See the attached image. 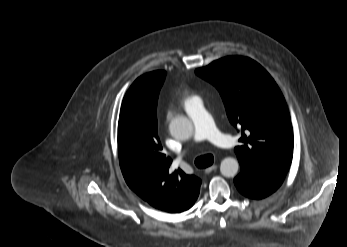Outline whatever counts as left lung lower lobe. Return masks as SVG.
<instances>
[{
    "instance_id": "0a47b994",
    "label": "left lung lower lobe",
    "mask_w": 347,
    "mask_h": 247,
    "mask_svg": "<svg viewBox=\"0 0 347 247\" xmlns=\"http://www.w3.org/2000/svg\"><path fill=\"white\" fill-rule=\"evenodd\" d=\"M286 173L283 171H254L241 165V173L234 179V183L244 196L262 199L281 186Z\"/></svg>"
}]
</instances>
